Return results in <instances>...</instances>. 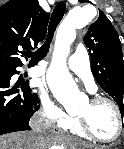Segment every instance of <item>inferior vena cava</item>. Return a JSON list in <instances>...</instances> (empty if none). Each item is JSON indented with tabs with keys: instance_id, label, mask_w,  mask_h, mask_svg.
I'll list each match as a JSON object with an SVG mask.
<instances>
[{
	"instance_id": "obj_1",
	"label": "inferior vena cava",
	"mask_w": 124,
	"mask_h": 149,
	"mask_svg": "<svg viewBox=\"0 0 124 149\" xmlns=\"http://www.w3.org/2000/svg\"><path fill=\"white\" fill-rule=\"evenodd\" d=\"M30 127L33 129L30 133V139H40L45 129L44 115L40 112L36 113L30 120ZM31 145H36V142H31ZM30 149H35V146H30Z\"/></svg>"
}]
</instances>
